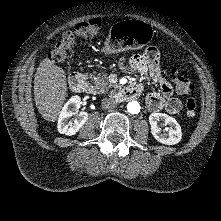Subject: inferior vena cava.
<instances>
[{"instance_id":"inferior-vena-cava-1","label":"inferior vena cava","mask_w":221,"mask_h":221,"mask_svg":"<svg viewBox=\"0 0 221 221\" xmlns=\"http://www.w3.org/2000/svg\"><path fill=\"white\" fill-rule=\"evenodd\" d=\"M117 106V103L114 99L112 98H104L102 100V108L103 109H108V110H112Z\"/></svg>"}]
</instances>
